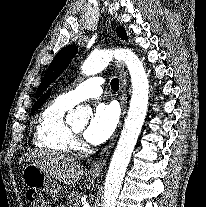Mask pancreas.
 I'll list each match as a JSON object with an SVG mask.
<instances>
[{"mask_svg": "<svg viewBox=\"0 0 206 207\" xmlns=\"http://www.w3.org/2000/svg\"><path fill=\"white\" fill-rule=\"evenodd\" d=\"M81 199V193L79 192H72L70 195L67 197V205L68 207H80V201ZM59 207V206H57ZM62 207V206H60Z\"/></svg>", "mask_w": 206, "mask_h": 207, "instance_id": "1", "label": "pancreas"}]
</instances>
